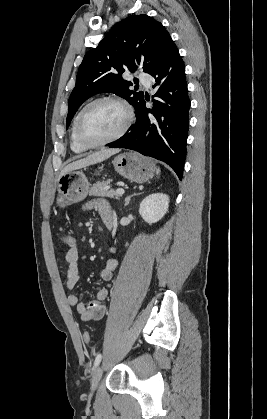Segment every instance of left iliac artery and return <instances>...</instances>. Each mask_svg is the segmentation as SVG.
<instances>
[{
  "label": "left iliac artery",
  "instance_id": "44dca946",
  "mask_svg": "<svg viewBox=\"0 0 267 419\" xmlns=\"http://www.w3.org/2000/svg\"><path fill=\"white\" fill-rule=\"evenodd\" d=\"M101 358H102V355H101V354H98V355L96 356L95 361H94V366H95V367L99 365V363H100V361H101Z\"/></svg>",
  "mask_w": 267,
  "mask_h": 419
}]
</instances>
